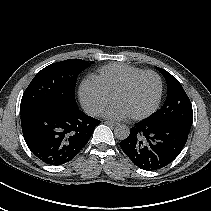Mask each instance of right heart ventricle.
<instances>
[{"mask_svg":"<svg viewBox=\"0 0 211 211\" xmlns=\"http://www.w3.org/2000/svg\"><path fill=\"white\" fill-rule=\"evenodd\" d=\"M143 71L145 70L135 66L114 63L100 68L93 78L112 95L129 78Z\"/></svg>","mask_w":211,"mask_h":211,"instance_id":"right-heart-ventricle-1","label":"right heart ventricle"}]
</instances>
